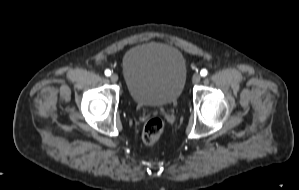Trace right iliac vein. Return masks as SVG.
Segmentation results:
<instances>
[{
  "label": "right iliac vein",
  "mask_w": 299,
  "mask_h": 190,
  "mask_svg": "<svg viewBox=\"0 0 299 190\" xmlns=\"http://www.w3.org/2000/svg\"><path fill=\"white\" fill-rule=\"evenodd\" d=\"M110 80L113 82V83H116L118 81V75L117 74H112L110 76Z\"/></svg>",
  "instance_id": "63e3f726"
}]
</instances>
